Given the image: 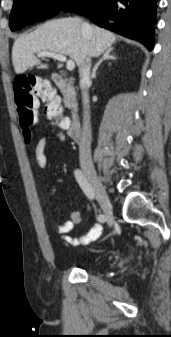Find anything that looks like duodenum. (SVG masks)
Returning a JSON list of instances; mask_svg holds the SVG:
<instances>
[{"label":"duodenum","mask_w":171,"mask_h":337,"mask_svg":"<svg viewBox=\"0 0 171 337\" xmlns=\"http://www.w3.org/2000/svg\"><path fill=\"white\" fill-rule=\"evenodd\" d=\"M55 85L66 92L68 105L69 107L76 112L78 103H77V95L73 89L72 81L60 74H53L52 76ZM68 134L70 138L74 141L81 140V129L78 118L75 116L67 126Z\"/></svg>","instance_id":"obj_1"}]
</instances>
